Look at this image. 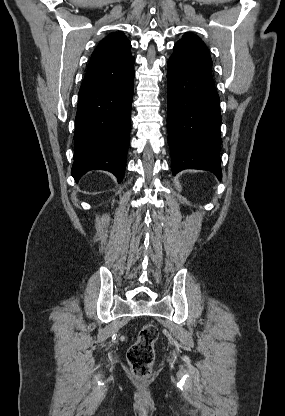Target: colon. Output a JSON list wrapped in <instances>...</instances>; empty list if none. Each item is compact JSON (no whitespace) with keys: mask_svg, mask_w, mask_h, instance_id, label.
Returning a JSON list of instances; mask_svg holds the SVG:
<instances>
[{"mask_svg":"<svg viewBox=\"0 0 285 416\" xmlns=\"http://www.w3.org/2000/svg\"><path fill=\"white\" fill-rule=\"evenodd\" d=\"M157 338V328L150 323L144 324L138 332L136 341L128 350V363L138 379H146L151 375V367L155 358L154 345Z\"/></svg>","mask_w":285,"mask_h":416,"instance_id":"5ec220e1","label":"colon"}]
</instances>
